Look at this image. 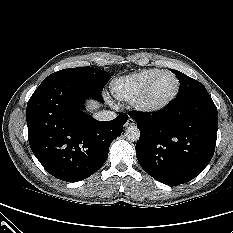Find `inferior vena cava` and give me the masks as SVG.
Returning a JSON list of instances; mask_svg holds the SVG:
<instances>
[{
  "label": "inferior vena cava",
  "mask_w": 233,
  "mask_h": 233,
  "mask_svg": "<svg viewBox=\"0 0 233 233\" xmlns=\"http://www.w3.org/2000/svg\"><path fill=\"white\" fill-rule=\"evenodd\" d=\"M117 117V114L112 111H101L94 114V118L99 121H110Z\"/></svg>",
  "instance_id": "1"
}]
</instances>
